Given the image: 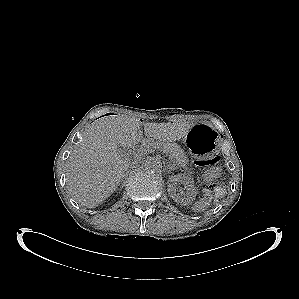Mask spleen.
I'll use <instances>...</instances> for the list:
<instances>
[{
  "instance_id": "3e777b00",
  "label": "spleen",
  "mask_w": 299,
  "mask_h": 299,
  "mask_svg": "<svg viewBox=\"0 0 299 299\" xmlns=\"http://www.w3.org/2000/svg\"><path fill=\"white\" fill-rule=\"evenodd\" d=\"M210 205L211 203L209 200L200 198L198 201L194 202V204L191 206V210L193 212H204L210 207Z\"/></svg>"
}]
</instances>
